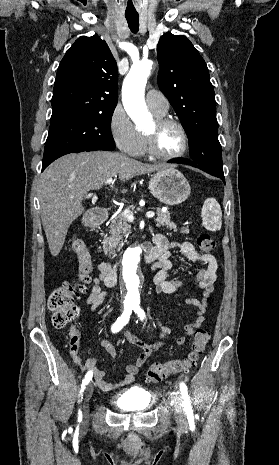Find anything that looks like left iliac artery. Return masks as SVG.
Listing matches in <instances>:
<instances>
[{
	"label": "left iliac artery",
	"instance_id": "obj_1",
	"mask_svg": "<svg viewBox=\"0 0 279 465\" xmlns=\"http://www.w3.org/2000/svg\"><path fill=\"white\" fill-rule=\"evenodd\" d=\"M133 310L136 314H138V316L143 320L145 318V313L144 311L140 308L139 304H135L133 306ZM180 390H181V394H182V398L184 400V408H185V412H186V415H187V418H188V421L191 422L193 421L194 417H193V410H192V407L190 405V401H189V396H188V392H187V386L185 383L181 382L180 383Z\"/></svg>",
	"mask_w": 279,
	"mask_h": 465
}]
</instances>
